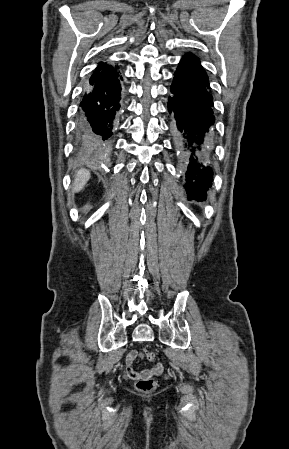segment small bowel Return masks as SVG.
<instances>
[{"label": "small bowel", "mask_w": 289, "mask_h": 449, "mask_svg": "<svg viewBox=\"0 0 289 449\" xmlns=\"http://www.w3.org/2000/svg\"><path fill=\"white\" fill-rule=\"evenodd\" d=\"M142 357H143V354L136 350L130 351L126 355V365H127L128 377H130L131 379H138L140 377H145V376L159 375L163 372L164 367L161 363H158L157 365H155L154 367H152L150 369H143V370L135 369L133 367L134 362L138 358H142Z\"/></svg>", "instance_id": "1"}]
</instances>
